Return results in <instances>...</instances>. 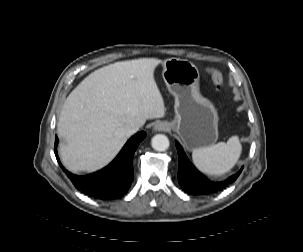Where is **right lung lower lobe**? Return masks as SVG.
I'll use <instances>...</instances> for the list:
<instances>
[{
	"label": "right lung lower lobe",
	"instance_id": "right-lung-lower-lobe-1",
	"mask_svg": "<svg viewBox=\"0 0 303 252\" xmlns=\"http://www.w3.org/2000/svg\"><path fill=\"white\" fill-rule=\"evenodd\" d=\"M141 131L128 140L115 160L104 169L86 176H76L65 170L59 161L55 140V155L58 163L73 182L74 186L97 199H115L123 196L131 186L134 178L133 155L138 144L145 138Z\"/></svg>",
	"mask_w": 303,
	"mask_h": 252
}]
</instances>
